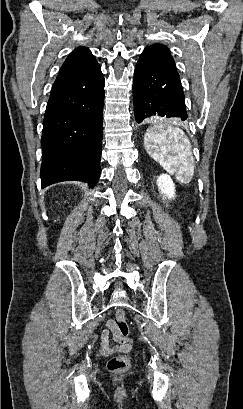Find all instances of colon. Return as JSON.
Masks as SVG:
<instances>
[{
  "label": "colon",
  "mask_w": 243,
  "mask_h": 409,
  "mask_svg": "<svg viewBox=\"0 0 243 409\" xmlns=\"http://www.w3.org/2000/svg\"><path fill=\"white\" fill-rule=\"evenodd\" d=\"M114 323V335L129 349L131 348V339L129 338V326L126 321L125 312L123 309H118L113 319ZM131 365V360L128 354H121L112 357L108 361V369L112 372H124Z\"/></svg>",
  "instance_id": "1"
}]
</instances>
